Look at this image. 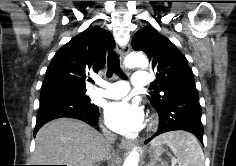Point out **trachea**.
<instances>
[{"instance_id":"trachea-1","label":"trachea","mask_w":236,"mask_h":166,"mask_svg":"<svg viewBox=\"0 0 236 166\" xmlns=\"http://www.w3.org/2000/svg\"><path fill=\"white\" fill-rule=\"evenodd\" d=\"M107 65H108V71H107L108 77H111L115 73L123 79L126 78V76L123 74L120 68L119 57L115 52L113 51L109 52Z\"/></svg>"}]
</instances>
